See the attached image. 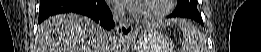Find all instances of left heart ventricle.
<instances>
[{
  "label": "left heart ventricle",
  "instance_id": "b2bd125f",
  "mask_svg": "<svg viewBox=\"0 0 261 52\" xmlns=\"http://www.w3.org/2000/svg\"><path fill=\"white\" fill-rule=\"evenodd\" d=\"M164 0H149V1H140L138 7L140 11L146 13L156 12L163 7Z\"/></svg>",
  "mask_w": 261,
  "mask_h": 52
}]
</instances>
